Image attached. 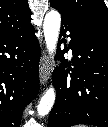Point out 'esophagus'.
<instances>
[{"instance_id": "esophagus-1", "label": "esophagus", "mask_w": 108, "mask_h": 127, "mask_svg": "<svg viewBox=\"0 0 108 127\" xmlns=\"http://www.w3.org/2000/svg\"><path fill=\"white\" fill-rule=\"evenodd\" d=\"M39 76L42 85H45L50 76L49 58L44 54L39 64Z\"/></svg>"}]
</instances>
